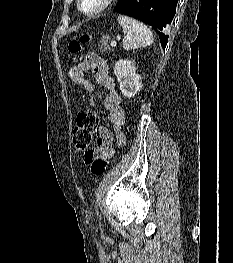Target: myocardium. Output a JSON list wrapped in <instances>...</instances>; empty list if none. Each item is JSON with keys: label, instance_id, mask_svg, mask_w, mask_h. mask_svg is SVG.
I'll return each instance as SVG.
<instances>
[{"label": "myocardium", "instance_id": "myocardium-1", "mask_svg": "<svg viewBox=\"0 0 233 263\" xmlns=\"http://www.w3.org/2000/svg\"><path fill=\"white\" fill-rule=\"evenodd\" d=\"M82 1L83 0H77V8L83 15L88 16V17H93V16H96L98 14H101L106 9H108L112 5V3L114 2V0H102L101 4L96 9H94L92 11H87V10L83 9Z\"/></svg>", "mask_w": 233, "mask_h": 263}]
</instances>
